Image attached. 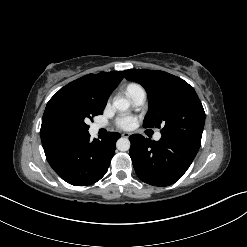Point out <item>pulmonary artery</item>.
<instances>
[{"mask_svg":"<svg viewBox=\"0 0 247 247\" xmlns=\"http://www.w3.org/2000/svg\"><path fill=\"white\" fill-rule=\"evenodd\" d=\"M129 98L131 99V102L133 104V106L135 107H140L145 103L146 100V93L142 88L137 89L136 91H134ZM102 125L98 124L95 126L96 129L101 128ZM161 138V133L157 132L154 136L155 140H160Z\"/></svg>","mask_w":247,"mask_h":247,"instance_id":"e3ab8cb5","label":"pulmonary artery"}]
</instances>
